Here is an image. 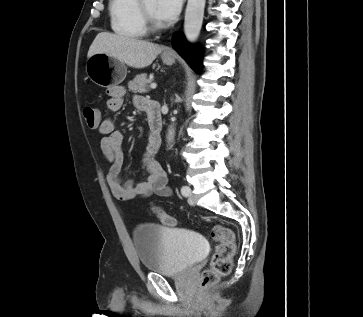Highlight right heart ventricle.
<instances>
[{
	"label": "right heart ventricle",
	"mask_w": 363,
	"mask_h": 317,
	"mask_svg": "<svg viewBox=\"0 0 363 317\" xmlns=\"http://www.w3.org/2000/svg\"><path fill=\"white\" fill-rule=\"evenodd\" d=\"M137 5L138 0H110V23L114 33L126 38H142L147 34Z\"/></svg>",
	"instance_id": "e07e8e85"
}]
</instances>
